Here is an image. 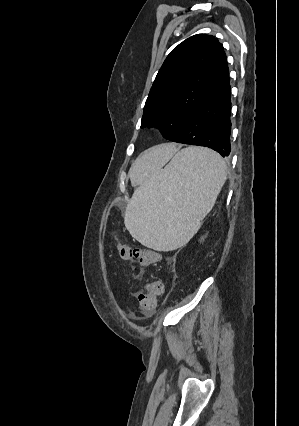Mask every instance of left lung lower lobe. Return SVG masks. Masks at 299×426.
<instances>
[{
  "label": "left lung lower lobe",
  "instance_id": "left-lung-lower-lobe-1",
  "mask_svg": "<svg viewBox=\"0 0 299 426\" xmlns=\"http://www.w3.org/2000/svg\"><path fill=\"white\" fill-rule=\"evenodd\" d=\"M231 88L229 75L190 115L173 142L212 148L223 157L230 154Z\"/></svg>",
  "mask_w": 299,
  "mask_h": 426
}]
</instances>
